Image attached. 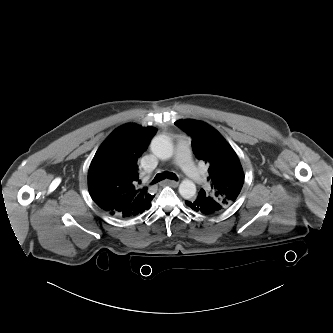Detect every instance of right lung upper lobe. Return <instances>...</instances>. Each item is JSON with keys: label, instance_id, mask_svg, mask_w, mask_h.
Listing matches in <instances>:
<instances>
[{"label": "right lung upper lobe", "instance_id": "1", "mask_svg": "<svg viewBox=\"0 0 333 333\" xmlns=\"http://www.w3.org/2000/svg\"><path fill=\"white\" fill-rule=\"evenodd\" d=\"M154 127L125 124L115 129L97 150L88 171V189L105 212L123 217L143 213L154 196L139 187L137 161L156 134Z\"/></svg>", "mask_w": 333, "mask_h": 333}]
</instances>
